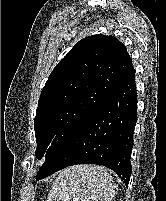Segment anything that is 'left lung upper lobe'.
<instances>
[{
	"instance_id": "left-lung-upper-lobe-1",
	"label": "left lung upper lobe",
	"mask_w": 166,
	"mask_h": 201,
	"mask_svg": "<svg viewBox=\"0 0 166 201\" xmlns=\"http://www.w3.org/2000/svg\"><path fill=\"white\" fill-rule=\"evenodd\" d=\"M131 67L125 46L113 36L91 35L73 46L41 92L34 123L36 157L52 156Z\"/></svg>"
}]
</instances>
